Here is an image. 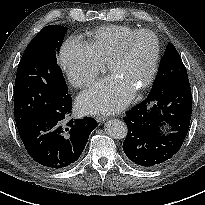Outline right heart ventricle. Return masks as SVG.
I'll list each match as a JSON object with an SVG mask.
<instances>
[{
  "mask_svg": "<svg viewBox=\"0 0 205 205\" xmlns=\"http://www.w3.org/2000/svg\"><path fill=\"white\" fill-rule=\"evenodd\" d=\"M137 29L126 25H109L90 34L87 45L101 64H106L119 49L124 38Z\"/></svg>",
  "mask_w": 205,
  "mask_h": 205,
  "instance_id": "right-heart-ventricle-1",
  "label": "right heart ventricle"
}]
</instances>
